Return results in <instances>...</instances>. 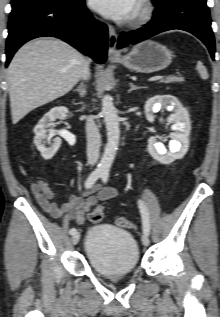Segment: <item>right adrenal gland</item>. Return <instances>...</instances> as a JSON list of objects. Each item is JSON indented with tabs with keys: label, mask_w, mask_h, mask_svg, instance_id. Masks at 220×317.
<instances>
[{
	"label": "right adrenal gland",
	"mask_w": 220,
	"mask_h": 317,
	"mask_svg": "<svg viewBox=\"0 0 220 317\" xmlns=\"http://www.w3.org/2000/svg\"><path fill=\"white\" fill-rule=\"evenodd\" d=\"M75 92H78L79 96L83 98L86 95V86L84 84H81L76 89H74Z\"/></svg>",
	"instance_id": "1"
}]
</instances>
